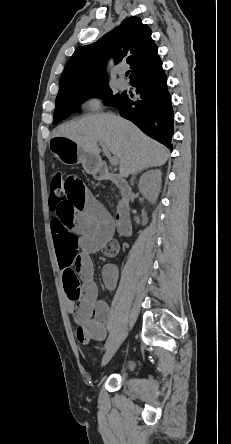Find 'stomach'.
Wrapping results in <instances>:
<instances>
[{
    "label": "stomach",
    "mask_w": 231,
    "mask_h": 444,
    "mask_svg": "<svg viewBox=\"0 0 231 444\" xmlns=\"http://www.w3.org/2000/svg\"><path fill=\"white\" fill-rule=\"evenodd\" d=\"M49 147L62 163L68 165L81 163L87 173L96 174L102 166L100 157L84 151L76 142L67 137L54 136Z\"/></svg>",
    "instance_id": "stomach-1"
}]
</instances>
